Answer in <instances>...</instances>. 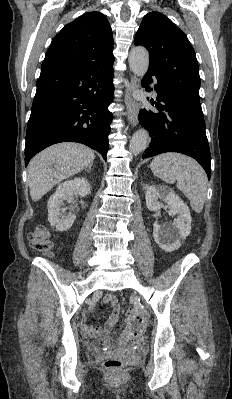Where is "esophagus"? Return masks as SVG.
<instances>
[{
	"label": "esophagus",
	"instance_id": "obj_1",
	"mask_svg": "<svg viewBox=\"0 0 232 399\" xmlns=\"http://www.w3.org/2000/svg\"><path fill=\"white\" fill-rule=\"evenodd\" d=\"M138 88H140V81L135 76H132L126 90L128 120L132 126L138 124L139 104L131 97V93Z\"/></svg>",
	"mask_w": 232,
	"mask_h": 399
}]
</instances>
